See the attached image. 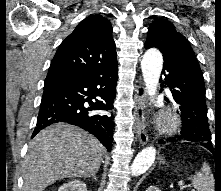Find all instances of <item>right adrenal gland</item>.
I'll return each mask as SVG.
<instances>
[{
    "mask_svg": "<svg viewBox=\"0 0 221 191\" xmlns=\"http://www.w3.org/2000/svg\"><path fill=\"white\" fill-rule=\"evenodd\" d=\"M96 173H97V172H94V173H92V174H90V175H87L85 178H90V177H92L95 181H97Z\"/></svg>",
    "mask_w": 221,
    "mask_h": 191,
    "instance_id": "right-adrenal-gland-1",
    "label": "right adrenal gland"
}]
</instances>
